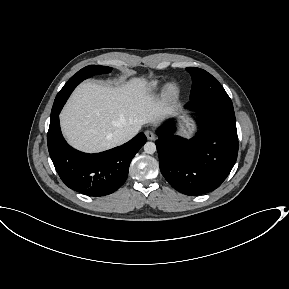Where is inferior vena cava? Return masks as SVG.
Listing matches in <instances>:
<instances>
[{"mask_svg":"<svg viewBox=\"0 0 289 289\" xmlns=\"http://www.w3.org/2000/svg\"><path fill=\"white\" fill-rule=\"evenodd\" d=\"M110 138L115 144L120 145L129 140V134L123 129H117L110 135Z\"/></svg>","mask_w":289,"mask_h":289,"instance_id":"1","label":"inferior vena cava"}]
</instances>
